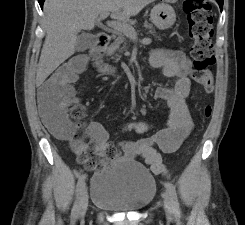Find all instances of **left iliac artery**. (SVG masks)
Returning <instances> with one entry per match:
<instances>
[{"label": "left iliac artery", "instance_id": "44dca946", "mask_svg": "<svg viewBox=\"0 0 245 225\" xmlns=\"http://www.w3.org/2000/svg\"><path fill=\"white\" fill-rule=\"evenodd\" d=\"M165 187L167 188L171 198L173 212L175 215L179 216L180 208H179V202H178L175 186L171 182L167 181L165 182Z\"/></svg>", "mask_w": 245, "mask_h": 225}]
</instances>
